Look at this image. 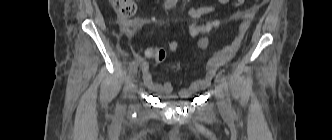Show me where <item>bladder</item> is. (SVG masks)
Here are the masks:
<instances>
[{
	"label": "bladder",
	"mask_w": 332,
	"mask_h": 140,
	"mask_svg": "<svg viewBox=\"0 0 332 140\" xmlns=\"http://www.w3.org/2000/svg\"><path fill=\"white\" fill-rule=\"evenodd\" d=\"M191 101L190 98L188 99H183V100H179V101H171L170 103L173 104V105H184V104H187Z\"/></svg>",
	"instance_id": "31cf9c89"
}]
</instances>
